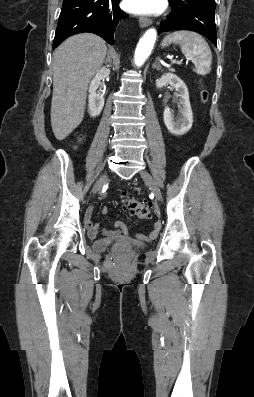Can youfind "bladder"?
<instances>
[{
	"label": "bladder",
	"instance_id": "31cf9c89",
	"mask_svg": "<svg viewBox=\"0 0 254 397\" xmlns=\"http://www.w3.org/2000/svg\"><path fill=\"white\" fill-rule=\"evenodd\" d=\"M93 246L98 250H106L109 247L108 241H95Z\"/></svg>",
	"mask_w": 254,
	"mask_h": 397
}]
</instances>
